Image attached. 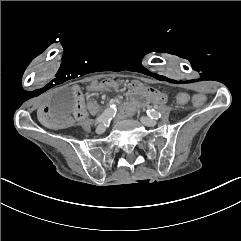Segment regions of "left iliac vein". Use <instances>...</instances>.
Segmentation results:
<instances>
[{
  "instance_id": "1",
  "label": "left iliac vein",
  "mask_w": 241,
  "mask_h": 241,
  "mask_svg": "<svg viewBox=\"0 0 241 241\" xmlns=\"http://www.w3.org/2000/svg\"><path fill=\"white\" fill-rule=\"evenodd\" d=\"M141 122L144 125L149 126V127H154L157 125V121L152 118H149V117H142Z\"/></svg>"
}]
</instances>
